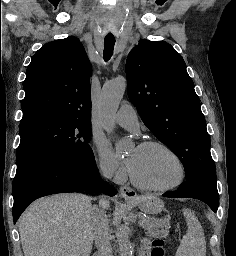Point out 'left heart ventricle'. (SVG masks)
<instances>
[{"mask_svg":"<svg viewBox=\"0 0 236 256\" xmlns=\"http://www.w3.org/2000/svg\"><path fill=\"white\" fill-rule=\"evenodd\" d=\"M127 160L135 177L146 186H166L175 182L180 175L176 159L160 148H133L128 153Z\"/></svg>","mask_w":236,"mask_h":256,"instance_id":"obj_1","label":"left heart ventricle"}]
</instances>
